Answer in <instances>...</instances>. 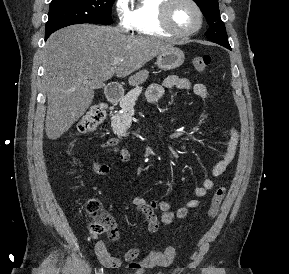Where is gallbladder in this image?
<instances>
[{
    "label": "gallbladder",
    "mask_w": 289,
    "mask_h": 274,
    "mask_svg": "<svg viewBox=\"0 0 289 274\" xmlns=\"http://www.w3.org/2000/svg\"><path fill=\"white\" fill-rule=\"evenodd\" d=\"M93 86H94V89H100V88H103L104 87V83L101 82V81H95L93 83Z\"/></svg>",
    "instance_id": "bac80fb5"
}]
</instances>
